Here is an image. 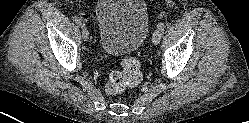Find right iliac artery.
<instances>
[{
  "mask_svg": "<svg viewBox=\"0 0 249 123\" xmlns=\"http://www.w3.org/2000/svg\"><path fill=\"white\" fill-rule=\"evenodd\" d=\"M76 23H77L80 27H84V26H85L84 20H82V19H80V18L76 20Z\"/></svg>",
  "mask_w": 249,
  "mask_h": 123,
  "instance_id": "82829eb1",
  "label": "right iliac artery"
}]
</instances>
